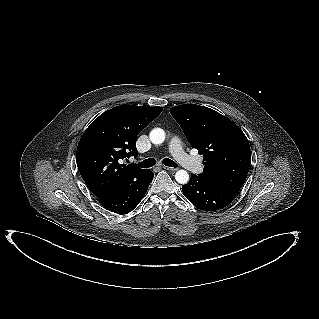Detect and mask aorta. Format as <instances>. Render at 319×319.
I'll list each match as a JSON object with an SVG mask.
<instances>
[{
  "instance_id": "obj_1",
  "label": "aorta",
  "mask_w": 319,
  "mask_h": 319,
  "mask_svg": "<svg viewBox=\"0 0 319 319\" xmlns=\"http://www.w3.org/2000/svg\"><path fill=\"white\" fill-rule=\"evenodd\" d=\"M149 138L153 144H161L165 140V131L161 128H154L150 132ZM175 179L180 184H186L189 181V174L185 170H178Z\"/></svg>"
}]
</instances>
